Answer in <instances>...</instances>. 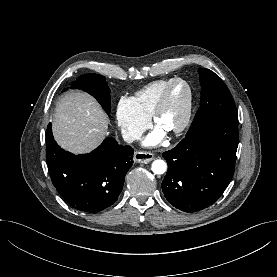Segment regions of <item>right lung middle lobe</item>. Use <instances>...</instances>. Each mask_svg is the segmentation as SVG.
Wrapping results in <instances>:
<instances>
[{
  "label": "right lung middle lobe",
  "instance_id": "dd1d6c3e",
  "mask_svg": "<svg viewBox=\"0 0 277 277\" xmlns=\"http://www.w3.org/2000/svg\"><path fill=\"white\" fill-rule=\"evenodd\" d=\"M70 88H78L88 92L96 98L107 114H110V89L104 76L98 74H85L71 83ZM68 88H65L66 91Z\"/></svg>",
  "mask_w": 277,
  "mask_h": 277
}]
</instances>
